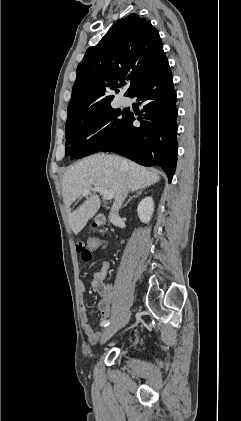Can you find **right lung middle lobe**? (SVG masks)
Returning a JSON list of instances; mask_svg holds the SVG:
<instances>
[{"mask_svg":"<svg viewBox=\"0 0 241 421\" xmlns=\"http://www.w3.org/2000/svg\"><path fill=\"white\" fill-rule=\"evenodd\" d=\"M129 113L111 106L66 125V156L79 159L101 151L124 130Z\"/></svg>","mask_w":241,"mask_h":421,"instance_id":"obj_1","label":"right lung middle lobe"}]
</instances>
